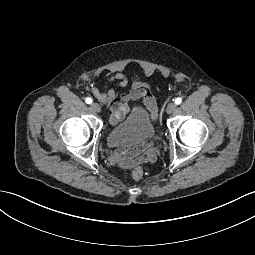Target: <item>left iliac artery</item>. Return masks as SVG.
I'll return each instance as SVG.
<instances>
[{
  "label": "left iliac artery",
  "instance_id": "left-iliac-artery-1",
  "mask_svg": "<svg viewBox=\"0 0 255 255\" xmlns=\"http://www.w3.org/2000/svg\"><path fill=\"white\" fill-rule=\"evenodd\" d=\"M182 102V99L181 98H177L176 100H175V103L178 105V104H180Z\"/></svg>",
  "mask_w": 255,
  "mask_h": 255
}]
</instances>
